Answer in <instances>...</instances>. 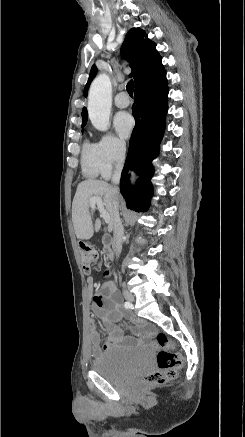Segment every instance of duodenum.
Listing matches in <instances>:
<instances>
[{"instance_id": "obj_1", "label": "duodenum", "mask_w": 245, "mask_h": 437, "mask_svg": "<svg viewBox=\"0 0 245 437\" xmlns=\"http://www.w3.org/2000/svg\"><path fill=\"white\" fill-rule=\"evenodd\" d=\"M103 244H104L103 254H104L105 258L107 260H112V258H113V251H112V248L110 246V244H111L110 236H108V235L104 236Z\"/></svg>"}]
</instances>
